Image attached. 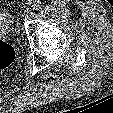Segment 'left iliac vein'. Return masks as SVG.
Masks as SVG:
<instances>
[{
  "mask_svg": "<svg viewBox=\"0 0 113 113\" xmlns=\"http://www.w3.org/2000/svg\"><path fill=\"white\" fill-rule=\"evenodd\" d=\"M32 15H33V10L31 8H28L27 10H25L24 12L25 18H30Z\"/></svg>",
  "mask_w": 113,
  "mask_h": 113,
  "instance_id": "obj_1",
  "label": "left iliac vein"
}]
</instances>
